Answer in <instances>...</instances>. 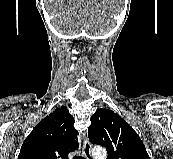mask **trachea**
<instances>
[{
    "mask_svg": "<svg viewBox=\"0 0 173 159\" xmlns=\"http://www.w3.org/2000/svg\"><path fill=\"white\" fill-rule=\"evenodd\" d=\"M74 159H85V158L82 156H75Z\"/></svg>",
    "mask_w": 173,
    "mask_h": 159,
    "instance_id": "trachea-1",
    "label": "trachea"
}]
</instances>
